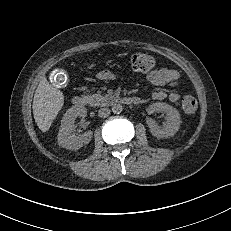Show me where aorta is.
I'll return each mask as SVG.
<instances>
[{"instance_id": "aorta-1", "label": "aorta", "mask_w": 231, "mask_h": 231, "mask_svg": "<svg viewBox=\"0 0 231 231\" xmlns=\"http://www.w3.org/2000/svg\"><path fill=\"white\" fill-rule=\"evenodd\" d=\"M122 110H123V108H122V105L120 103H114L112 105V111H113V113L119 114V113L122 112Z\"/></svg>"}]
</instances>
